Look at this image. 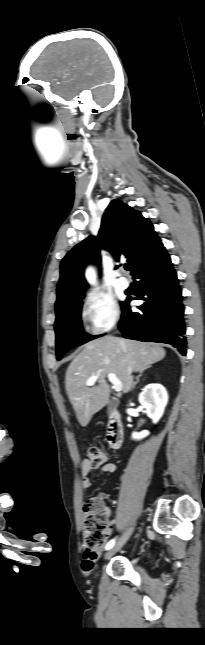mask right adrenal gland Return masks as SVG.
I'll use <instances>...</instances> for the list:
<instances>
[{"label":"right adrenal gland","instance_id":"1","mask_svg":"<svg viewBox=\"0 0 205 645\" xmlns=\"http://www.w3.org/2000/svg\"><path fill=\"white\" fill-rule=\"evenodd\" d=\"M143 372H144V370L139 371V375L136 377V381L133 383L132 390L135 388V386L140 381V377L143 375Z\"/></svg>","mask_w":205,"mask_h":645}]
</instances>
